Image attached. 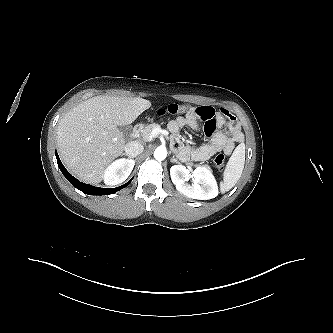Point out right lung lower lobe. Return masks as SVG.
I'll use <instances>...</instances> for the list:
<instances>
[{
	"mask_svg": "<svg viewBox=\"0 0 333 333\" xmlns=\"http://www.w3.org/2000/svg\"><path fill=\"white\" fill-rule=\"evenodd\" d=\"M56 159H57V163L58 166L61 170V172L63 173V175L66 177V179L77 189H79L80 191H82L85 194H89V195H109V194H114L115 192L119 191L120 189L126 187L127 185H129L130 181L120 187L117 188H112V189H108V188H100V187H94L92 185L89 184H85L80 182L79 180H77L75 177H73L63 166V164L61 163L58 154L56 153Z\"/></svg>",
	"mask_w": 333,
	"mask_h": 333,
	"instance_id": "right-lung-lower-lobe-1",
	"label": "right lung lower lobe"
}]
</instances>
